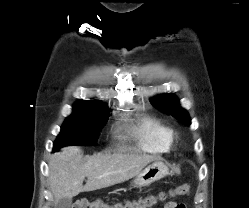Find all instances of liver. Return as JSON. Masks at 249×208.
Listing matches in <instances>:
<instances>
[{"instance_id": "6515ba94", "label": "liver", "mask_w": 249, "mask_h": 208, "mask_svg": "<svg viewBox=\"0 0 249 208\" xmlns=\"http://www.w3.org/2000/svg\"><path fill=\"white\" fill-rule=\"evenodd\" d=\"M152 155L98 153L83 157L77 146H68L53 154L49 161V183L55 204L61 198H72L84 191L109 187L134 176L150 162ZM87 177L86 184L83 181Z\"/></svg>"}]
</instances>
